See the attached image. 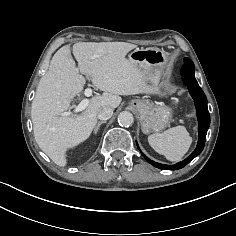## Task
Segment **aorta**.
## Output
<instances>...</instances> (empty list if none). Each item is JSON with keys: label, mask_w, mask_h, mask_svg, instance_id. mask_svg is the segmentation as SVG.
Listing matches in <instances>:
<instances>
[{"label": "aorta", "mask_w": 236, "mask_h": 236, "mask_svg": "<svg viewBox=\"0 0 236 236\" xmlns=\"http://www.w3.org/2000/svg\"><path fill=\"white\" fill-rule=\"evenodd\" d=\"M133 122H134V117H133L132 113H130L129 111H122L118 115V123L121 126L128 127V126L132 125Z\"/></svg>", "instance_id": "aorta-1"}]
</instances>
